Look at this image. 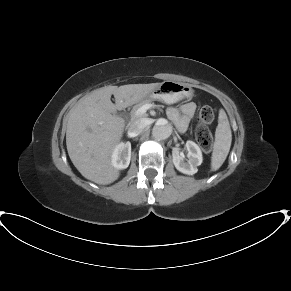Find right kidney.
I'll return each instance as SVG.
<instances>
[{
	"label": "right kidney",
	"mask_w": 291,
	"mask_h": 291,
	"mask_svg": "<svg viewBox=\"0 0 291 291\" xmlns=\"http://www.w3.org/2000/svg\"><path fill=\"white\" fill-rule=\"evenodd\" d=\"M131 159V143H119L113 150L111 155L112 165L118 169L122 170L129 166Z\"/></svg>",
	"instance_id": "right-kidney-1"
}]
</instances>
